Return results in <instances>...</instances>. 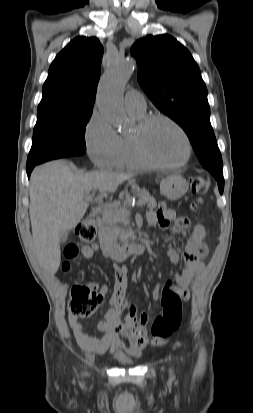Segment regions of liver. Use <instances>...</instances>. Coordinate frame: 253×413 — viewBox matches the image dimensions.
<instances>
[{"mask_svg":"<svg viewBox=\"0 0 253 413\" xmlns=\"http://www.w3.org/2000/svg\"><path fill=\"white\" fill-rule=\"evenodd\" d=\"M132 174L99 171L73 172L63 160L45 163L34 169L30 179L29 214L36 255L40 265L51 274L60 261V234L75 228L86 213L83 198L93 189L98 199L108 197Z\"/></svg>","mask_w":253,"mask_h":413,"instance_id":"6515ba94","label":"liver"}]
</instances>
